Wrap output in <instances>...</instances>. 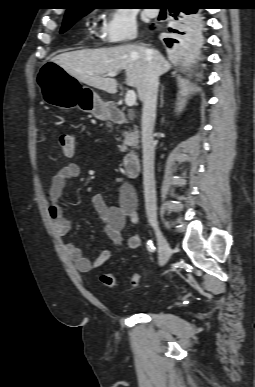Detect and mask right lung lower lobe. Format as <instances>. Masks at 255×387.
Segmentation results:
<instances>
[{"instance_id":"98d812e1","label":"right lung lower lobe","mask_w":255,"mask_h":387,"mask_svg":"<svg viewBox=\"0 0 255 387\" xmlns=\"http://www.w3.org/2000/svg\"><path fill=\"white\" fill-rule=\"evenodd\" d=\"M199 4L194 0H181L171 4L168 8L170 16L174 21H178V30L170 29L177 33L179 38H165L168 47L173 45L177 48H195L200 33L198 23Z\"/></svg>"}]
</instances>
